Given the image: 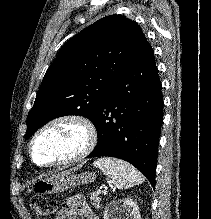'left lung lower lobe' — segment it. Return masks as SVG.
Here are the masks:
<instances>
[{"label": "left lung lower lobe", "instance_id": "1", "mask_svg": "<svg viewBox=\"0 0 211 219\" xmlns=\"http://www.w3.org/2000/svg\"><path fill=\"white\" fill-rule=\"evenodd\" d=\"M161 89L147 42L103 97L92 120L98 143L87 158L123 159L139 169L154 188L163 118Z\"/></svg>", "mask_w": 211, "mask_h": 219}]
</instances>
